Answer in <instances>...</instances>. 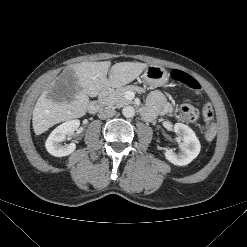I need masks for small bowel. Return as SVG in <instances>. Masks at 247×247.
Segmentation results:
<instances>
[{
	"instance_id": "small-bowel-1",
	"label": "small bowel",
	"mask_w": 247,
	"mask_h": 247,
	"mask_svg": "<svg viewBox=\"0 0 247 247\" xmlns=\"http://www.w3.org/2000/svg\"><path fill=\"white\" fill-rule=\"evenodd\" d=\"M171 110V106L166 103L164 96L159 92H153L148 98L143 115L147 119L153 118L158 113H166Z\"/></svg>"
}]
</instances>
